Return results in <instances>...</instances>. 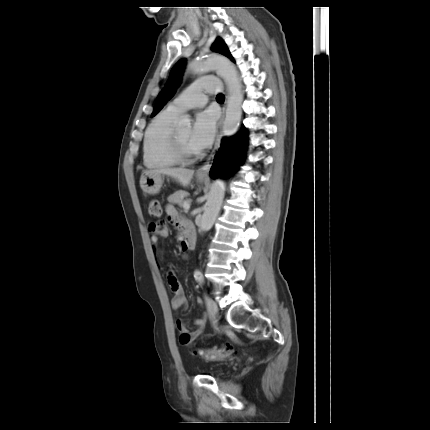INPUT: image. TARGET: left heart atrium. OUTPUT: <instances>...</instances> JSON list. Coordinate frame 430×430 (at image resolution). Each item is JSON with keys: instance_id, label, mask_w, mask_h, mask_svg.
Returning a JSON list of instances; mask_svg holds the SVG:
<instances>
[{"instance_id": "obj_1", "label": "left heart atrium", "mask_w": 430, "mask_h": 430, "mask_svg": "<svg viewBox=\"0 0 430 430\" xmlns=\"http://www.w3.org/2000/svg\"><path fill=\"white\" fill-rule=\"evenodd\" d=\"M216 117L213 111H203L196 117L190 144L196 151L208 148L214 138Z\"/></svg>"}]
</instances>
